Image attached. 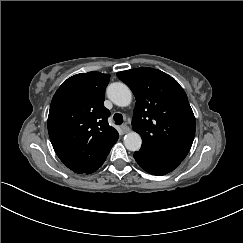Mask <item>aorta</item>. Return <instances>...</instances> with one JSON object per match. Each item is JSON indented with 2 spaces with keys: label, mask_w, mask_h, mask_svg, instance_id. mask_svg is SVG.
Instances as JSON below:
<instances>
[{
  "label": "aorta",
  "mask_w": 243,
  "mask_h": 243,
  "mask_svg": "<svg viewBox=\"0 0 243 243\" xmlns=\"http://www.w3.org/2000/svg\"><path fill=\"white\" fill-rule=\"evenodd\" d=\"M107 97L117 106L126 107L131 103L132 93L128 86L122 82H114L106 89ZM142 139L134 131L127 133L124 137V145L129 151H138L141 147Z\"/></svg>",
  "instance_id": "aorta-1"
}]
</instances>
